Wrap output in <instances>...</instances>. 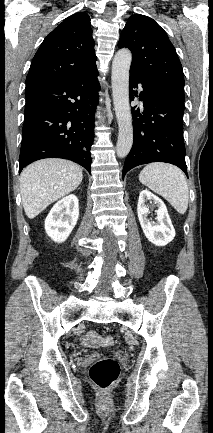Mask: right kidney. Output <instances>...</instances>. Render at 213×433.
I'll list each match as a JSON object with an SVG mask.
<instances>
[{"label":"right kidney","instance_id":"ca27d5eb","mask_svg":"<svg viewBox=\"0 0 213 433\" xmlns=\"http://www.w3.org/2000/svg\"><path fill=\"white\" fill-rule=\"evenodd\" d=\"M78 217V198L73 194L66 196L53 206L46 217V233L53 241L64 242L75 227Z\"/></svg>","mask_w":213,"mask_h":433}]
</instances>
